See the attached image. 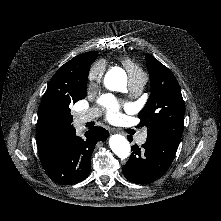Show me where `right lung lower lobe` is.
Wrapping results in <instances>:
<instances>
[{
    "mask_svg": "<svg viewBox=\"0 0 221 221\" xmlns=\"http://www.w3.org/2000/svg\"><path fill=\"white\" fill-rule=\"evenodd\" d=\"M109 132L102 127H92L85 137L76 136V130L71 127L58 138L55 151L45 167L51 180L71 185L84 180L90 173L92 151L96 143L108 138Z\"/></svg>",
    "mask_w": 221,
    "mask_h": 221,
    "instance_id": "98d812e1",
    "label": "right lung lower lobe"
}]
</instances>
